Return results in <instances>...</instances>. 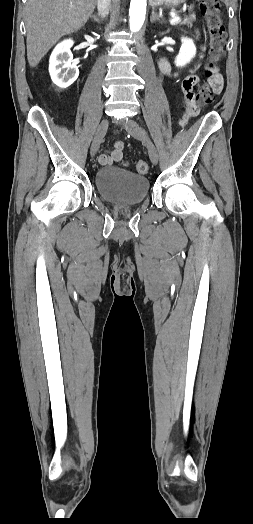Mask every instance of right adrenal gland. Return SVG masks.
<instances>
[{"label":"right adrenal gland","instance_id":"right-adrenal-gland-1","mask_svg":"<svg viewBox=\"0 0 253 524\" xmlns=\"http://www.w3.org/2000/svg\"><path fill=\"white\" fill-rule=\"evenodd\" d=\"M96 23H100L102 20L98 18L97 15H91L90 16Z\"/></svg>","mask_w":253,"mask_h":524}]
</instances>
